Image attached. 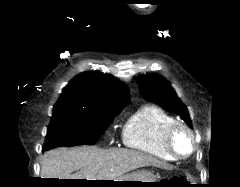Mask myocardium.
<instances>
[{
    "label": "myocardium",
    "instance_id": "obj_1",
    "mask_svg": "<svg viewBox=\"0 0 240 187\" xmlns=\"http://www.w3.org/2000/svg\"><path fill=\"white\" fill-rule=\"evenodd\" d=\"M184 137L187 140V150L183 151L178 146V139ZM165 144L168 151L176 159H186L196 150L193 132L183 123L175 122L168 127L165 134Z\"/></svg>",
    "mask_w": 240,
    "mask_h": 187
}]
</instances>
